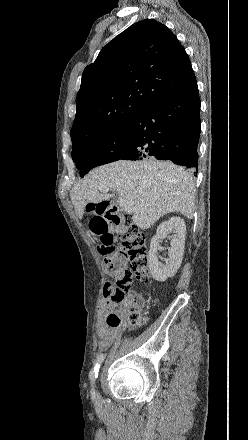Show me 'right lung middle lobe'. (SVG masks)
Instances as JSON below:
<instances>
[{"label": "right lung middle lobe", "mask_w": 248, "mask_h": 440, "mask_svg": "<svg viewBox=\"0 0 248 440\" xmlns=\"http://www.w3.org/2000/svg\"><path fill=\"white\" fill-rule=\"evenodd\" d=\"M130 136L131 124L126 122L100 137L72 146V159L81 177L94 167L119 160L128 149Z\"/></svg>", "instance_id": "right-lung-middle-lobe-1"}]
</instances>
